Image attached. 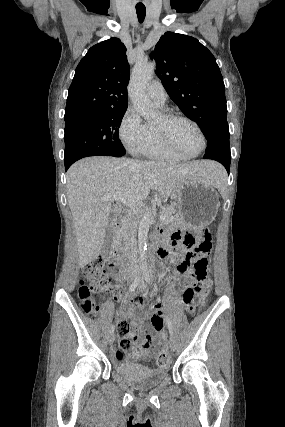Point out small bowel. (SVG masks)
<instances>
[{
    "label": "small bowel",
    "instance_id": "obj_1",
    "mask_svg": "<svg viewBox=\"0 0 285 427\" xmlns=\"http://www.w3.org/2000/svg\"><path fill=\"white\" fill-rule=\"evenodd\" d=\"M170 242L173 245H177V240L173 236H170ZM205 259V255L198 254H189L183 259L187 260H202ZM135 296V305L134 310L128 311L122 308L120 314L129 320L130 322V332L129 337L132 339H137L140 341L143 349L138 354L132 357L133 361H148L151 358L152 352L156 349V340H157V331H159L163 325V311L165 309V302L161 301L150 308L152 314L151 320L147 321L145 314L143 312V307L145 303V296L142 294H137ZM177 311L185 310L189 313L194 311V306L188 304L184 301V297L180 299L179 305L176 308ZM141 325L144 326V331L141 330ZM149 328H153L154 331L150 332ZM142 332L146 334V337L143 339ZM116 359L119 365H125L128 363V359L122 353L116 354Z\"/></svg>",
    "mask_w": 285,
    "mask_h": 427
}]
</instances>
